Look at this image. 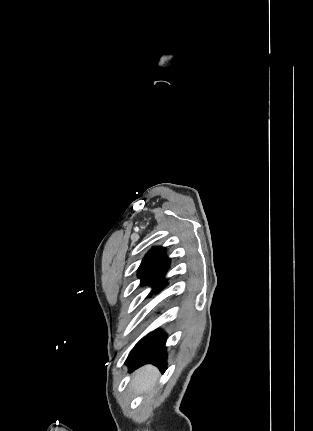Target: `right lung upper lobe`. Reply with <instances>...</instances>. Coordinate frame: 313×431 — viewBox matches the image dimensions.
I'll return each mask as SVG.
<instances>
[{
  "label": "right lung upper lobe",
  "mask_w": 313,
  "mask_h": 431,
  "mask_svg": "<svg viewBox=\"0 0 313 431\" xmlns=\"http://www.w3.org/2000/svg\"><path fill=\"white\" fill-rule=\"evenodd\" d=\"M170 259L166 256L164 248H152L143 259L138 276L141 283L153 285V292H157L165 283L163 276L169 269Z\"/></svg>",
  "instance_id": "right-lung-upper-lobe-1"
}]
</instances>
